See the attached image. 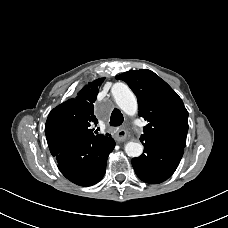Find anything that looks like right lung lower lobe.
Returning <instances> with one entry per match:
<instances>
[{"instance_id":"right-lung-lower-lobe-1","label":"right lung lower lobe","mask_w":228,"mask_h":228,"mask_svg":"<svg viewBox=\"0 0 228 228\" xmlns=\"http://www.w3.org/2000/svg\"><path fill=\"white\" fill-rule=\"evenodd\" d=\"M114 147L111 137H79L49 146V149L68 180L80 186H91L103 178L107 157Z\"/></svg>"}]
</instances>
